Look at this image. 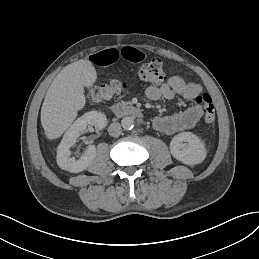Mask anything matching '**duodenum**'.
<instances>
[{
	"mask_svg": "<svg viewBox=\"0 0 259 259\" xmlns=\"http://www.w3.org/2000/svg\"><path fill=\"white\" fill-rule=\"evenodd\" d=\"M110 110L117 117L143 118V114L139 109L124 103H114L111 105Z\"/></svg>",
	"mask_w": 259,
	"mask_h": 259,
	"instance_id": "1",
	"label": "duodenum"
}]
</instances>
